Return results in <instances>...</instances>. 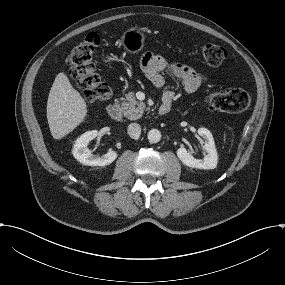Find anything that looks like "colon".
I'll use <instances>...</instances> for the list:
<instances>
[{"instance_id":"1","label":"colon","mask_w":285,"mask_h":285,"mask_svg":"<svg viewBox=\"0 0 285 285\" xmlns=\"http://www.w3.org/2000/svg\"><path fill=\"white\" fill-rule=\"evenodd\" d=\"M99 42L100 38L96 33H89L67 57L70 73L89 102L105 100L111 95L110 87L101 80L93 62L94 51ZM202 53L211 66H219L227 57V51L215 44L205 45ZM206 101L215 110L238 113L249 107L251 98L242 89H227L210 92Z\"/></svg>"}]
</instances>
